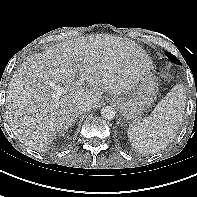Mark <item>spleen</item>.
Here are the masks:
<instances>
[{
  "label": "spleen",
  "mask_w": 197,
  "mask_h": 197,
  "mask_svg": "<svg viewBox=\"0 0 197 197\" xmlns=\"http://www.w3.org/2000/svg\"><path fill=\"white\" fill-rule=\"evenodd\" d=\"M186 90L175 85L156 105L150 116L129 125L127 135L139 152L155 153L166 147L175 137L184 115Z\"/></svg>",
  "instance_id": "1"
}]
</instances>
